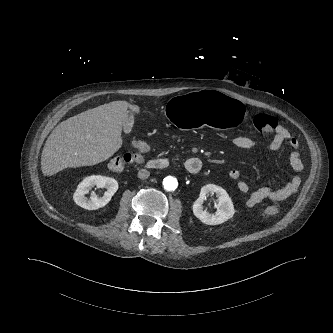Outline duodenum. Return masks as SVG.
Instances as JSON below:
<instances>
[{"label":"duodenum","mask_w":333,"mask_h":333,"mask_svg":"<svg viewBox=\"0 0 333 333\" xmlns=\"http://www.w3.org/2000/svg\"><path fill=\"white\" fill-rule=\"evenodd\" d=\"M146 166L152 170H164L168 168L169 161L163 158L152 159L147 162ZM184 167L188 173L196 175L202 170L203 164L199 158L191 157L185 161Z\"/></svg>","instance_id":"1"}]
</instances>
